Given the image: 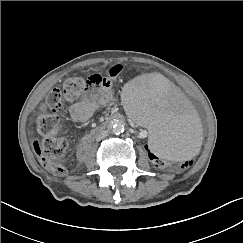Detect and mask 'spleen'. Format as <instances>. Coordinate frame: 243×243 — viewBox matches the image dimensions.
<instances>
[{
  "instance_id": "1",
  "label": "spleen",
  "mask_w": 243,
  "mask_h": 243,
  "mask_svg": "<svg viewBox=\"0 0 243 243\" xmlns=\"http://www.w3.org/2000/svg\"><path fill=\"white\" fill-rule=\"evenodd\" d=\"M122 100L129 116L147 123L146 144L158 156L185 162L197 153L200 134L192 106L169 79L139 75L125 87Z\"/></svg>"
}]
</instances>
